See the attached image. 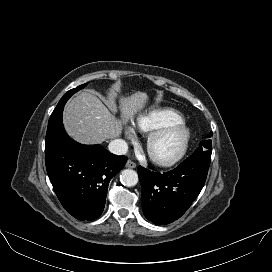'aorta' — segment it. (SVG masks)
Here are the masks:
<instances>
[{
  "mask_svg": "<svg viewBox=\"0 0 272 272\" xmlns=\"http://www.w3.org/2000/svg\"><path fill=\"white\" fill-rule=\"evenodd\" d=\"M120 180L128 187L135 186L138 183V174L132 169H125L120 175Z\"/></svg>",
  "mask_w": 272,
  "mask_h": 272,
  "instance_id": "aorta-1",
  "label": "aorta"
}]
</instances>
